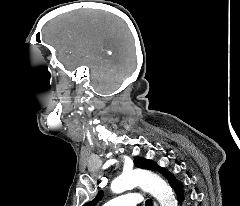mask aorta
<instances>
[{
  "mask_svg": "<svg viewBox=\"0 0 240 206\" xmlns=\"http://www.w3.org/2000/svg\"><path fill=\"white\" fill-rule=\"evenodd\" d=\"M135 186H140L153 195L160 206H177V200L168 184L158 175L146 170L122 173L112 181L111 190L119 194Z\"/></svg>",
  "mask_w": 240,
  "mask_h": 206,
  "instance_id": "762f6f07",
  "label": "aorta"
}]
</instances>
